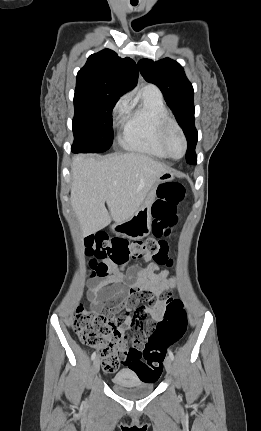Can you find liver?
<instances>
[{"label": "liver", "mask_w": 261, "mask_h": 431, "mask_svg": "<svg viewBox=\"0 0 261 431\" xmlns=\"http://www.w3.org/2000/svg\"><path fill=\"white\" fill-rule=\"evenodd\" d=\"M168 170L151 157L134 152L74 156L71 205L83 235L105 228L111 220H128L142 205L158 176Z\"/></svg>", "instance_id": "6515ba94"}]
</instances>
